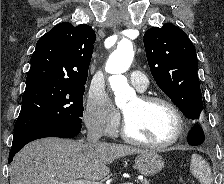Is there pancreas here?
I'll return each mask as SVG.
<instances>
[{
    "label": "pancreas",
    "instance_id": "pancreas-1",
    "mask_svg": "<svg viewBox=\"0 0 224 184\" xmlns=\"http://www.w3.org/2000/svg\"><path fill=\"white\" fill-rule=\"evenodd\" d=\"M141 184H151V182L149 180L144 179L141 180Z\"/></svg>",
    "mask_w": 224,
    "mask_h": 184
}]
</instances>
